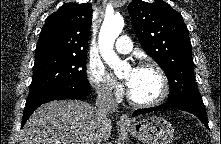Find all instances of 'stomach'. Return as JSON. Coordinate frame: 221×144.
Returning a JSON list of instances; mask_svg holds the SVG:
<instances>
[{"instance_id": "stomach-1", "label": "stomach", "mask_w": 221, "mask_h": 144, "mask_svg": "<svg viewBox=\"0 0 221 144\" xmlns=\"http://www.w3.org/2000/svg\"><path fill=\"white\" fill-rule=\"evenodd\" d=\"M123 128L143 144H171L174 137L171 123L159 116L142 119Z\"/></svg>"}]
</instances>
